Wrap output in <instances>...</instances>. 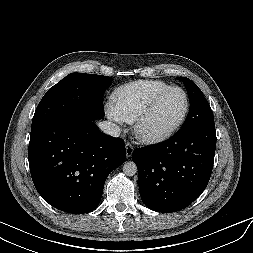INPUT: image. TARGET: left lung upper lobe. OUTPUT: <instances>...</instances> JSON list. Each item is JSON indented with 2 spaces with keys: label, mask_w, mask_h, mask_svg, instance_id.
Returning <instances> with one entry per match:
<instances>
[{
  "label": "left lung upper lobe",
  "mask_w": 253,
  "mask_h": 253,
  "mask_svg": "<svg viewBox=\"0 0 253 253\" xmlns=\"http://www.w3.org/2000/svg\"><path fill=\"white\" fill-rule=\"evenodd\" d=\"M179 80L185 84L190 101L188 116L179 131L188 132L214 124L210 105L199 87L186 77H179Z\"/></svg>",
  "instance_id": "1"
}]
</instances>
